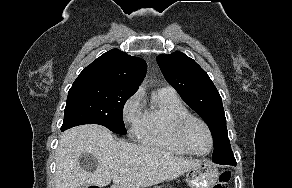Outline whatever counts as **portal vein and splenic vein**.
<instances>
[{"label":"portal vein and splenic vein","instance_id":"1","mask_svg":"<svg viewBox=\"0 0 292 188\" xmlns=\"http://www.w3.org/2000/svg\"><path fill=\"white\" fill-rule=\"evenodd\" d=\"M119 171H120V173H124V172H126L127 170H126V169H120Z\"/></svg>","mask_w":292,"mask_h":188}]
</instances>
